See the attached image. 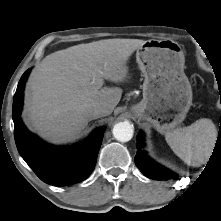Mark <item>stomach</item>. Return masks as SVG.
I'll list each match as a JSON object with an SVG mask.
<instances>
[{"label": "stomach", "mask_w": 221, "mask_h": 221, "mask_svg": "<svg viewBox=\"0 0 221 221\" xmlns=\"http://www.w3.org/2000/svg\"><path fill=\"white\" fill-rule=\"evenodd\" d=\"M136 61L145 77L143 99L130 112L160 133L175 129L192 105L181 46L170 39H151L137 49Z\"/></svg>", "instance_id": "stomach-1"}]
</instances>
